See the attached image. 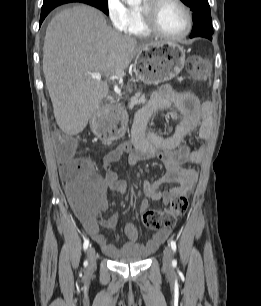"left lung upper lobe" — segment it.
<instances>
[{
  "label": "left lung upper lobe",
  "mask_w": 261,
  "mask_h": 306,
  "mask_svg": "<svg viewBox=\"0 0 261 306\" xmlns=\"http://www.w3.org/2000/svg\"><path fill=\"white\" fill-rule=\"evenodd\" d=\"M193 13V28L190 37L212 38L213 29L208 0H181Z\"/></svg>",
  "instance_id": "1"
}]
</instances>
